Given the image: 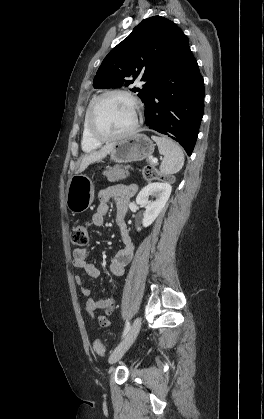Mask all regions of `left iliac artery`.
Masks as SVG:
<instances>
[{"label": "left iliac artery", "mask_w": 264, "mask_h": 419, "mask_svg": "<svg viewBox=\"0 0 264 419\" xmlns=\"http://www.w3.org/2000/svg\"><path fill=\"white\" fill-rule=\"evenodd\" d=\"M129 329H130V323L129 321H126L122 337H124L128 333Z\"/></svg>", "instance_id": "1"}]
</instances>
